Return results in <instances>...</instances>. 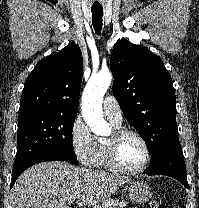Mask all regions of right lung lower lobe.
<instances>
[{"label":"right lung lower lobe","instance_id":"98d812e1","mask_svg":"<svg viewBox=\"0 0 199 208\" xmlns=\"http://www.w3.org/2000/svg\"><path fill=\"white\" fill-rule=\"evenodd\" d=\"M44 161H65L63 158L59 157V156H39V157H35L32 158L28 161L23 162L22 164L16 166L15 168H13L12 171V179H11V185L10 187L13 186V184L15 183L16 179L19 177V175L25 171L27 168H29L30 166L39 163V162H44Z\"/></svg>","mask_w":199,"mask_h":208}]
</instances>
